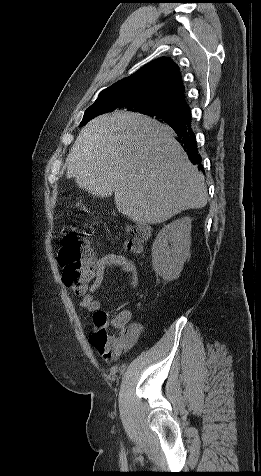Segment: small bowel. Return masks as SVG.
Instances as JSON below:
<instances>
[{
    "label": "small bowel",
    "mask_w": 261,
    "mask_h": 476,
    "mask_svg": "<svg viewBox=\"0 0 261 476\" xmlns=\"http://www.w3.org/2000/svg\"><path fill=\"white\" fill-rule=\"evenodd\" d=\"M111 267H117L127 275L128 291L137 288L139 277L133 261L122 254L108 253L100 259H93V271L89 284L84 289L76 292L81 297L80 306L82 308L94 314L101 311V304L95 299L94 294L101 287L106 270ZM110 326L123 332L124 341L110 355H103L106 360L116 358L122 351L131 347L142 330L139 323L131 321V313L128 310L118 312L110 320Z\"/></svg>",
    "instance_id": "1"
}]
</instances>
